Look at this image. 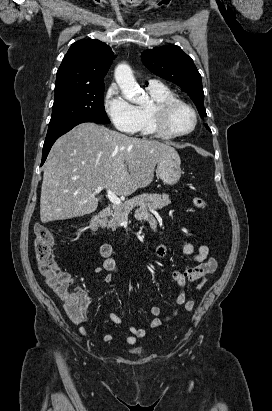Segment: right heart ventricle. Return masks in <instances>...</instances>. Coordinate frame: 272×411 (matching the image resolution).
<instances>
[{"label":"right heart ventricle","instance_id":"1","mask_svg":"<svg viewBox=\"0 0 272 411\" xmlns=\"http://www.w3.org/2000/svg\"><path fill=\"white\" fill-rule=\"evenodd\" d=\"M147 90L153 99V103L160 102L170 98H176L175 94L166 86L162 84L148 85ZM149 106H139L137 107L139 114V125L138 130L143 135L154 136L157 135L154 131L153 124L150 117Z\"/></svg>","mask_w":272,"mask_h":411}]
</instances>
